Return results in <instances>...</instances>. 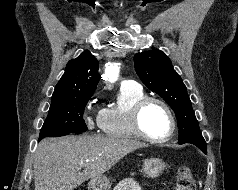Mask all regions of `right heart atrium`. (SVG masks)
I'll list each match as a JSON object with an SVG mask.
<instances>
[{
  "label": "right heart atrium",
  "instance_id": "1",
  "mask_svg": "<svg viewBox=\"0 0 238 190\" xmlns=\"http://www.w3.org/2000/svg\"><path fill=\"white\" fill-rule=\"evenodd\" d=\"M96 103L97 99L95 97H92L85 109L84 119L89 129L100 127L101 124L102 110H96Z\"/></svg>",
  "mask_w": 238,
  "mask_h": 190
}]
</instances>
